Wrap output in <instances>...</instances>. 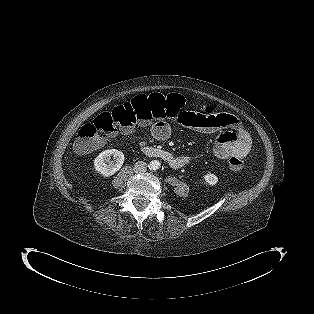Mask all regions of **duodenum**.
Listing matches in <instances>:
<instances>
[{"label": "duodenum", "mask_w": 314, "mask_h": 314, "mask_svg": "<svg viewBox=\"0 0 314 314\" xmlns=\"http://www.w3.org/2000/svg\"><path fill=\"white\" fill-rule=\"evenodd\" d=\"M140 149L148 156L157 157L165 160L170 165H174L177 162V158L169 151L163 150L160 148L148 146V145H140Z\"/></svg>", "instance_id": "1"}]
</instances>
